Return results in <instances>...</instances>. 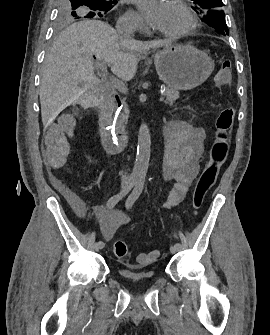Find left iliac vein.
Returning a JSON list of instances; mask_svg holds the SVG:
<instances>
[{
	"mask_svg": "<svg viewBox=\"0 0 270 335\" xmlns=\"http://www.w3.org/2000/svg\"><path fill=\"white\" fill-rule=\"evenodd\" d=\"M170 252H171L172 254H175V253L178 252V249H177L175 246H171V247H170Z\"/></svg>",
	"mask_w": 270,
	"mask_h": 335,
	"instance_id": "left-iliac-vein-1",
	"label": "left iliac vein"
}]
</instances>
